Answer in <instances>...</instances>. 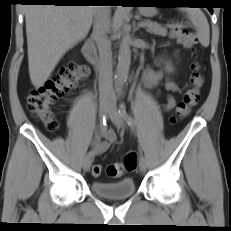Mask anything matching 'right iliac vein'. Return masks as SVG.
I'll return each instance as SVG.
<instances>
[{
  "label": "right iliac vein",
  "mask_w": 231,
  "mask_h": 231,
  "mask_svg": "<svg viewBox=\"0 0 231 231\" xmlns=\"http://www.w3.org/2000/svg\"><path fill=\"white\" fill-rule=\"evenodd\" d=\"M108 99L109 97L106 94H102L100 96V106H99L100 116H103L108 112V104H107ZM91 164H92V157L85 156L82 163L84 171H88L91 167Z\"/></svg>",
  "instance_id": "obj_1"
}]
</instances>
